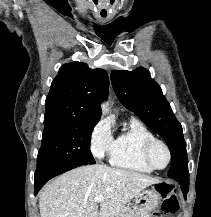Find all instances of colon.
Here are the masks:
<instances>
[{"label": "colon", "mask_w": 211, "mask_h": 217, "mask_svg": "<svg viewBox=\"0 0 211 217\" xmlns=\"http://www.w3.org/2000/svg\"><path fill=\"white\" fill-rule=\"evenodd\" d=\"M158 191L164 198L162 203L163 217L176 214L179 210V201L175 193H173L172 188L169 185L163 184L159 186Z\"/></svg>", "instance_id": "1"}]
</instances>
